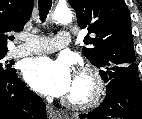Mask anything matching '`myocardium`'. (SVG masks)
I'll return each mask as SVG.
<instances>
[{
    "label": "myocardium",
    "instance_id": "myocardium-1",
    "mask_svg": "<svg viewBox=\"0 0 142 119\" xmlns=\"http://www.w3.org/2000/svg\"><path fill=\"white\" fill-rule=\"evenodd\" d=\"M75 77L87 82V93L82 98L66 96L63 99V103L77 110H88L98 106L105 94L106 88L104 77L100 71L92 66H82L76 70Z\"/></svg>",
    "mask_w": 142,
    "mask_h": 119
}]
</instances>
